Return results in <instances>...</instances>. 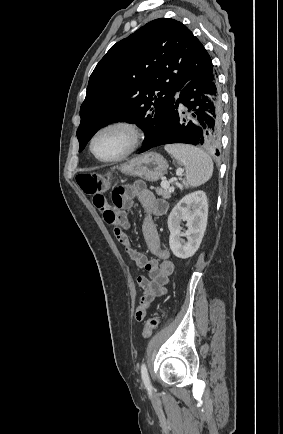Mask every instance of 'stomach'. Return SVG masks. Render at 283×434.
Returning <instances> with one entry per match:
<instances>
[{
  "label": "stomach",
  "mask_w": 283,
  "mask_h": 434,
  "mask_svg": "<svg viewBox=\"0 0 283 434\" xmlns=\"http://www.w3.org/2000/svg\"><path fill=\"white\" fill-rule=\"evenodd\" d=\"M167 168V161L155 152L139 155L119 167L126 175L140 177L150 182L158 181L166 173Z\"/></svg>",
  "instance_id": "stomach-1"
}]
</instances>
